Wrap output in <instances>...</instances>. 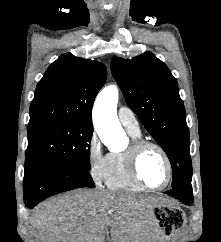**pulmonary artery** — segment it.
I'll return each mask as SVG.
<instances>
[{"label": "pulmonary artery", "mask_w": 221, "mask_h": 242, "mask_svg": "<svg viewBox=\"0 0 221 242\" xmlns=\"http://www.w3.org/2000/svg\"><path fill=\"white\" fill-rule=\"evenodd\" d=\"M118 118L120 123L133 133H139L140 127L139 123L133 113V111L128 107H120L118 109Z\"/></svg>", "instance_id": "1"}]
</instances>
